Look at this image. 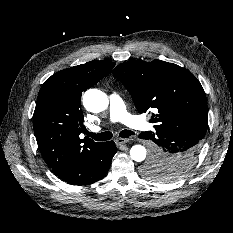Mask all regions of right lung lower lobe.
Returning <instances> with one entry per match:
<instances>
[{
	"label": "right lung lower lobe",
	"instance_id": "right-lung-lower-lobe-1",
	"mask_svg": "<svg viewBox=\"0 0 233 233\" xmlns=\"http://www.w3.org/2000/svg\"><path fill=\"white\" fill-rule=\"evenodd\" d=\"M116 152L113 141L100 143L79 156L57 176L72 185H88L96 182L107 174Z\"/></svg>",
	"mask_w": 233,
	"mask_h": 233
}]
</instances>
